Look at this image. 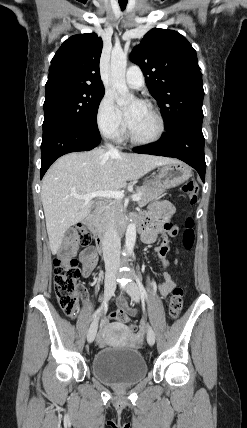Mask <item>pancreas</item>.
Masks as SVG:
<instances>
[{"label":"pancreas","instance_id":"pancreas-1","mask_svg":"<svg viewBox=\"0 0 247 428\" xmlns=\"http://www.w3.org/2000/svg\"><path fill=\"white\" fill-rule=\"evenodd\" d=\"M164 189L155 186L143 185L136 187V194L141 197L138 201L139 207L147 205L149 202L158 199L163 193ZM123 217L122 204L118 201L110 203L108 208L98 218V226L105 229L109 220L119 221Z\"/></svg>","mask_w":247,"mask_h":428}]
</instances>
